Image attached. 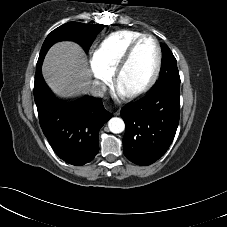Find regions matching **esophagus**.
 Returning <instances> with one entry per match:
<instances>
[{"mask_svg": "<svg viewBox=\"0 0 227 227\" xmlns=\"http://www.w3.org/2000/svg\"><path fill=\"white\" fill-rule=\"evenodd\" d=\"M114 115H119V110L113 112Z\"/></svg>", "mask_w": 227, "mask_h": 227, "instance_id": "obj_1", "label": "esophagus"}]
</instances>
